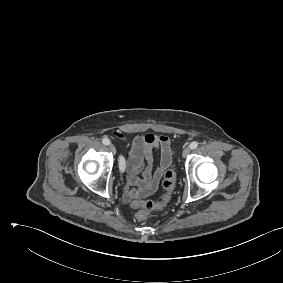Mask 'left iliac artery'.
Listing matches in <instances>:
<instances>
[{"mask_svg": "<svg viewBox=\"0 0 283 283\" xmlns=\"http://www.w3.org/2000/svg\"><path fill=\"white\" fill-rule=\"evenodd\" d=\"M189 147L191 149H196L198 147V143L196 141H193V142L190 143Z\"/></svg>", "mask_w": 283, "mask_h": 283, "instance_id": "44dca946", "label": "left iliac artery"}]
</instances>
